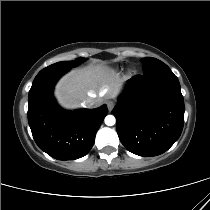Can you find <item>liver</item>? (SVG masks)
Returning <instances> with one entry per match:
<instances>
[{
  "instance_id": "obj_1",
  "label": "liver",
  "mask_w": 210,
  "mask_h": 210,
  "mask_svg": "<svg viewBox=\"0 0 210 210\" xmlns=\"http://www.w3.org/2000/svg\"><path fill=\"white\" fill-rule=\"evenodd\" d=\"M123 79L107 67L91 65L73 70L63 76L55 88L58 102L72 109L88 97L101 105L106 99L115 98L121 90Z\"/></svg>"
}]
</instances>
